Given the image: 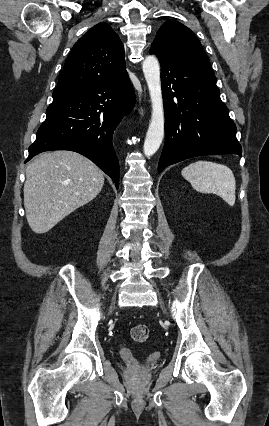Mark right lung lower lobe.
<instances>
[{
	"label": "right lung lower lobe",
	"mask_w": 269,
	"mask_h": 426,
	"mask_svg": "<svg viewBox=\"0 0 269 426\" xmlns=\"http://www.w3.org/2000/svg\"><path fill=\"white\" fill-rule=\"evenodd\" d=\"M135 104L128 74L106 83L77 87L54 99L46 120L29 147V161L38 153L70 150L92 160L119 187V162L113 134Z\"/></svg>",
	"instance_id": "1"
}]
</instances>
